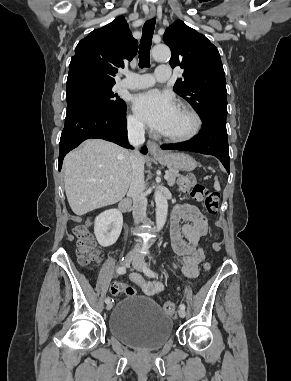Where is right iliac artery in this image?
<instances>
[{
  "instance_id": "obj_1",
  "label": "right iliac artery",
  "mask_w": 291,
  "mask_h": 381,
  "mask_svg": "<svg viewBox=\"0 0 291 381\" xmlns=\"http://www.w3.org/2000/svg\"><path fill=\"white\" fill-rule=\"evenodd\" d=\"M117 273H118V274H125V273H126V268H125L124 266H120V267H118V268H117ZM105 302H106V303H109V302H110V298L107 297V298L105 299Z\"/></svg>"
}]
</instances>
